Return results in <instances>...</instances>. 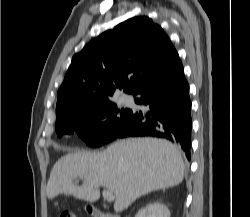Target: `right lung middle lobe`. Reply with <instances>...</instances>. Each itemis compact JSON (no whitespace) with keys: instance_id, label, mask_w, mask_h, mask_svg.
<instances>
[{"instance_id":"right-lung-middle-lobe-1","label":"right lung middle lobe","mask_w":250,"mask_h":217,"mask_svg":"<svg viewBox=\"0 0 250 217\" xmlns=\"http://www.w3.org/2000/svg\"><path fill=\"white\" fill-rule=\"evenodd\" d=\"M132 111L119 109L111 100L69 114L56 122L58 137L78 133L88 146L98 147L116 139Z\"/></svg>"}]
</instances>
